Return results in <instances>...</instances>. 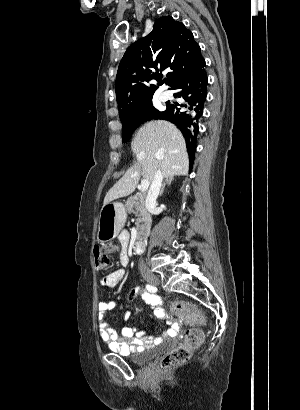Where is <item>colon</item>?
Returning a JSON list of instances; mask_svg holds the SVG:
<instances>
[{"instance_id": "1", "label": "colon", "mask_w": 300, "mask_h": 410, "mask_svg": "<svg viewBox=\"0 0 300 410\" xmlns=\"http://www.w3.org/2000/svg\"><path fill=\"white\" fill-rule=\"evenodd\" d=\"M94 262L98 271H106L112 264V259L109 250L95 248ZM173 311L178 314L183 320L186 327H193L204 323V316L200 310L189 302L175 301L172 304ZM204 335L200 329L191 328L187 330L184 341L178 347L167 352L160 365L164 369L173 368L186 363L193 350L202 345Z\"/></svg>"}]
</instances>
